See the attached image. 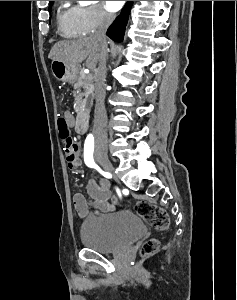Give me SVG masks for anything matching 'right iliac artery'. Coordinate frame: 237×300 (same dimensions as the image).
Returning a JSON list of instances; mask_svg holds the SVG:
<instances>
[{"instance_id":"1","label":"right iliac artery","mask_w":237,"mask_h":300,"mask_svg":"<svg viewBox=\"0 0 237 300\" xmlns=\"http://www.w3.org/2000/svg\"><path fill=\"white\" fill-rule=\"evenodd\" d=\"M93 152H94V138L93 135L89 134L84 144V161L85 164L90 168L97 167L93 159Z\"/></svg>"}]
</instances>
